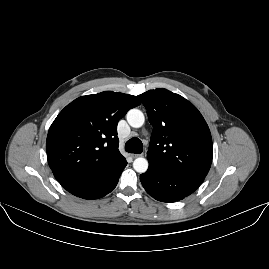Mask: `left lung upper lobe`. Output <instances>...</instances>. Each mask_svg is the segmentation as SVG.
Masks as SVG:
<instances>
[{
	"label": "left lung upper lobe",
	"mask_w": 269,
	"mask_h": 269,
	"mask_svg": "<svg viewBox=\"0 0 269 269\" xmlns=\"http://www.w3.org/2000/svg\"><path fill=\"white\" fill-rule=\"evenodd\" d=\"M137 97L153 126L147 152L149 165L204 179L212 163V138L197 108L163 88Z\"/></svg>",
	"instance_id": "1"
}]
</instances>
